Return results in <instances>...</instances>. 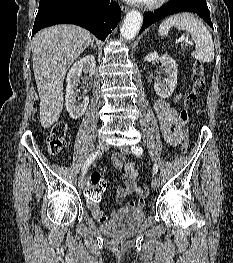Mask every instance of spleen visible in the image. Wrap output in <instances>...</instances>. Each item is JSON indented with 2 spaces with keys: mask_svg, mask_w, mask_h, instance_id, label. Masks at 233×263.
Listing matches in <instances>:
<instances>
[{
  "mask_svg": "<svg viewBox=\"0 0 233 263\" xmlns=\"http://www.w3.org/2000/svg\"><path fill=\"white\" fill-rule=\"evenodd\" d=\"M171 27L179 31L184 30L195 43V51L191 56L203 63H209L214 59V43L212 36L200 19L191 13L174 14L164 20L159 26V34L162 37L168 35Z\"/></svg>",
  "mask_w": 233,
  "mask_h": 263,
  "instance_id": "3e777b00",
  "label": "spleen"
}]
</instances>
